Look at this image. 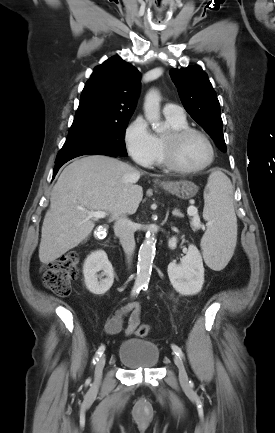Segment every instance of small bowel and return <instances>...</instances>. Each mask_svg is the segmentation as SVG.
<instances>
[{
    "instance_id": "obj_1",
    "label": "small bowel",
    "mask_w": 275,
    "mask_h": 433,
    "mask_svg": "<svg viewBox=\"0 0 275 433\" xmlns=\"http://www.w3.org/2000/svg\"><path fill=\"white\" fill-rule=\"evenodd\" d=\"M125 318L128 319L127 326L125 328V334L130 336L135 332L140 323L141 305L139 302L128 303L120 307L116 313L106 322V332L110 335L119 333L123 328Z\"/></svg>"
}]
</instances>
